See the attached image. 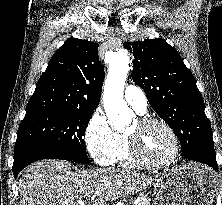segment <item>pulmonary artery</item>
Instances as JSON below:
<instances>
[{
    "instance_id": "1",
    "label": "pulmonary artery",
    "mask_w": 222,
    "mask_h": 205,
    "mask_svg": "<svg viewBox=\"0 0 222 205\" xmlns=\"http://www.w3.org/2000/svg\"><path fill=\"white\" fill-rule=\"evenodd\" d=\"M125 101L138 113L142 114L147 109L145 93L137 86L129 85L124 91Z\"/></svg>"
}]
</instances>
